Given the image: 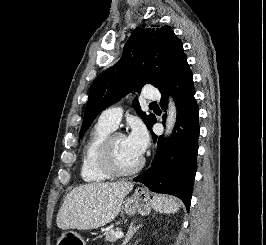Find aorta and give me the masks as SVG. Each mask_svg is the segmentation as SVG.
Segmentation results:
<instances>
[{
  "label": "aorta",
  "mask_w": 266,
  "mask_h": 245,
  "mask_svg": "<svg viewBox=\"0 0 266 245\" xmlns=\"http://www.w3.org/2000/svg\"><path fill=\"white\" fill-rule=\"evenodd\" d=\"M177 116V106L173 100V98H169L168 110H167V118H166V129L165 135L166 137H170L176 123Z\"/></svg>",
  "instance_id": "1"
}]
</instances>
